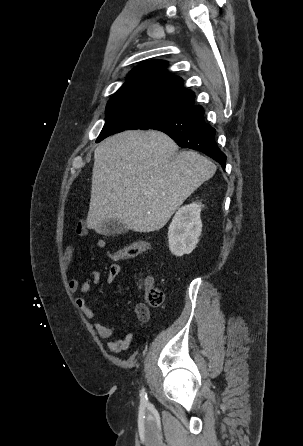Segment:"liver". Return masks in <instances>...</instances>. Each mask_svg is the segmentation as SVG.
Returning <instances> with one entry per match:
<instances>
[{"instance_id": "obj_1", "label": "liver", "mask_w": 303, "mask_h": 446, "mask_svg": "<svg viewBox=\"0 0 303 446\" xmlns=\"http://www.w3.org/2000/svg\"><path fill=\"white\" fill-rule=\"evenodd\" d=\"M178 146L159 131H124L105 139L94 151L87 227L105 233L111 220L135 232H153L173 213L216 165Z\"/></svg>"}]
</instances>
